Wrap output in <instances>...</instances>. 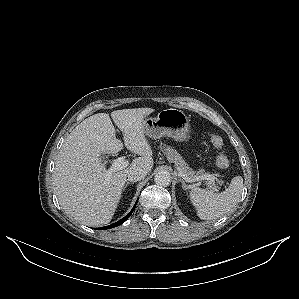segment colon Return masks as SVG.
Instances as JSON below:
<instances>
[{"label": "colon", "instance_id": "1", "mask_svg": "<svg viewBox=\"0 0 299 299\" xmlns=\"http://www.w3.org/2000/svg\"><path fill=\"white\" fill-rule=\"evenodd\" d=\"M210 142L215 147V149L218 150V154L216 157L217 167L222 168V169L227 168L229 165V158H228L227 154L223 151V147H224L223 139L216 134H211Z\"/></svg>", "mask_w": 299, "mask_h": 299}]
</instances>
